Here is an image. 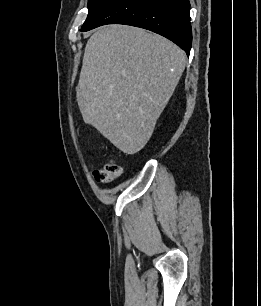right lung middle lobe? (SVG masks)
Returning a JSON list of instances; mask_svg holds the SVG:
<instances>
[{
  "mask_svg": "<svg viewBox=\"0 0 261 306\" xmlns=\"http://www.w3.org/2000/svg\"><path fill=\"white\" fill-rule=\"evenodd\" d=\"M113 0H88V16L82 28L89 25Z\"/></svg>",
  "mask_w": 261,
  "mask_h": 306,
  "instance_id": "dd1d6c3e",
  "label": "right lung middle lobe"
}]
</instances>
